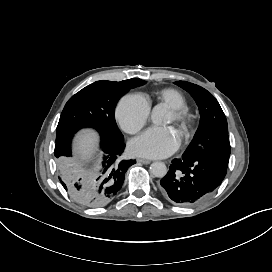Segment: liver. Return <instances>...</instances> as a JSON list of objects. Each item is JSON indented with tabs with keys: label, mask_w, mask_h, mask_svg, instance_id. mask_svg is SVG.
Instances as JSON below:
<instances>
[{
	"label": "liver",
	"mask_w": 272,
	"mask_h": 272,
	"mask_svg": "<svg viewBox=\"0 0 272 272\" xmlns=\"http://www.w3.org/2000/svg\"><path fill=\"white\" fill-rule=\"evenodd\" d=\"M92 144L93 136L91 134L82 135L81 139L78 142L77 147L80 154L76 156L75 162L71 164V166L73 167L72 172L78 178L85 176V174L90 170L89 165L85 164V162H83V159H85L86 152L90 150Z\"/></svg>",
	"instance_id": "1"
}]
</instances>
